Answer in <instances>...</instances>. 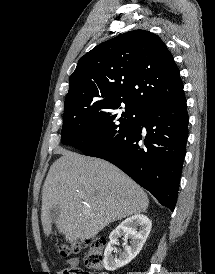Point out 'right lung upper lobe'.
<instances>
[{
  "mask_svg": "<svg viewBox=\"0 0 215 274\" xmlns=\"http://www.w3.org/2000/svg\"><path fill=\"white\" fill-rule=\"evenodd\" d=\"M65 102L121 101L142 109L184 96L173 56L159 36L134 30L85 54L69 79Z\"/></svg>",
  "mask_w": 215,
  "mask_h": 274,
  "instance_id": "obj_1",
  "label": "right lung upper lobe"
}]
</instances>
